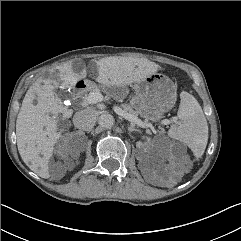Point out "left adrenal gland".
I'll return each instance as SVG.
<instances>
[{
    "label": "left adrenal gland",
    "mask_w": 241,
    "mask_h": 241,
    "mask_svg": "<svg viewBox=\"0 0 241 241\" xmlns=\"http://www.w3.org/2000/svg\"><path fill=\"white\" fill-rule=\"evenodd\" d=\"M128 130H129V131H137V132H140L139 129L135 128V127L132 126V125L128 127Z\"/></svg>",
    "instance_id": "left-adrenal-gland-1"
}]
</instances>
